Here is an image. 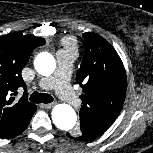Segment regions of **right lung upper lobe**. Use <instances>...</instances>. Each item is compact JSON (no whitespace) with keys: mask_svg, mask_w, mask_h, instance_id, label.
I'll return each mask as SVG.
<instances>
[{"mask_svg":"<svg viewBox=\"0 0 153 153\" xmlns=\"http://www.w3.org/2000/svg\"><path fill=\"white\" fill-rule=\"evenodd\" d=\"M40 37L11 33L0 36V137L12 132L36 108L25 93L19 100L16 90L26 84L21 71L33 49L44 45Z\"/></svg>","mask_w":153,"mask_h":153,"instance_id":"obj_1","label":"right lung upper lobe"}]
</instances>
